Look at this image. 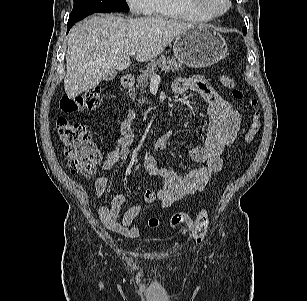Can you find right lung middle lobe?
I'll return each instance as SVG.
<instances>
[{"instance_id":"dd1d6c3e","label":"right lung middle lobe","mask_w":307,"mask_h":301,"mask_svg":"<svg viewBox=\"0 0 307 301\" xmlns=\"http://www.w3.org/2000/svg\"><path fill=\"white\" fill-rule=\"evenodd\" d=\"M126 0H74L68 22H77L93 13L128 11Z\"/></svg>"}]
</instances>
